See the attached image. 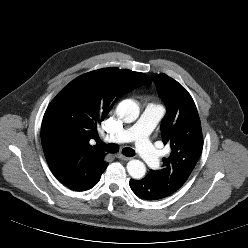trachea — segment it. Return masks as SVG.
Wrapping results in <instances>:
<instances>
[{
  "label": "trachea",
  "instance_id": "trachea-1",
  "mask_svg": "<svg viewBox=\"0 0 248 248\" xmlns=\"http://www.w3.org/2000/svg\"><path fill=\"white\" fill-rule=\"evenodd\" d=\"M96 143H97L98 148H101L105 150L106 152L117 153L119 151V146L117 144H114V143L105 144L100 139H98ZM122 153L126 155L127 157H132L135 155V151L131 149L130 147H125L122 150Z\"/></svg>",
  "mask_w": 248,
  "mask_h": 248
}]
</instances>
